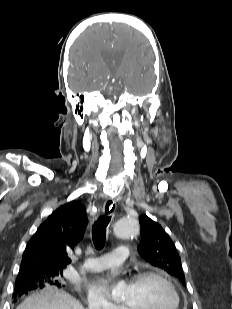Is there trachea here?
I'll return each mask as SVG.
<instances>
[{
    "label": "trachea",
    "instance_id": "obj_1",
    "mask_svg": "<svg viewBox=\"0 0 232 309\" xmlns=\"http://www.w3.org/2000/svg\"><path fill=\"white\" fill-rule=\"evenodd\" d=\"M111 216H101L95 221L92 227V239L97 249H102L106 240V229Z\"/></svg>",
    "mask_w": 232,
    "mask_h": 309
}]
</instances>
